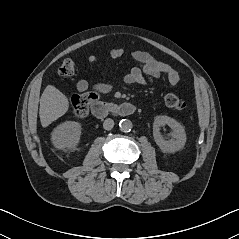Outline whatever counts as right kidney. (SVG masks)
I'll return each instance as SVG.
<instances>
[{
    "instance_id": "ca27d5eb",
    "label": "right kidney",
    "mask_w": 239,
    "mask_h": 239,
    "mask_svg": "<svg viewBox=\"0 0 239 239\" xmlns=\"http://www.w3.org/2000/svg\"><path fill=\"white\" fill-rule=\"evenodd\" d=\"M81 125L74 121H66L52 132V143L56 148H72L79 143Z\"/></svg>"
}]
</instances>
